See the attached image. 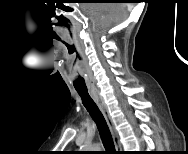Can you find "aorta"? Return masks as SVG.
<instances>
[{
	"instance_id": "762f6f07",
	"label": "aorta",
	"mask_w": 188,
	"mask_h": 154,
	"mask_svg": "<svg viewBox=\"0 0 188 154\" xmlns=\"http://www.w3.org/2000/svg\"><path fill=\"white\" fill-rule=\"evenodd\" d=\"M94 148L98 149V148H99V146L97 145V146H95Z\"/></svg>"
}]
</instances>
